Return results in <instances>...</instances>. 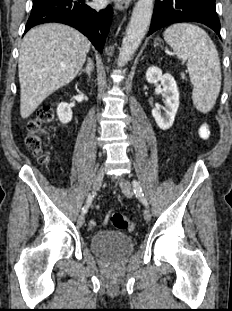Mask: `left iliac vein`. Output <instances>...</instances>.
<instances>
[{
	"label": "left iliac vein",
	"mask_w": 232,
	"mask_h": 311,
	"mask_svg": "<svg viewBox=\"0 0 232 311\" xmlns=\"http://www.w3.org/2000/svg\"><path fill=\"white\" fill-rule=\"evenodd\" d=\"M119 185L121 187V190L122 192L124 193L125 196L127 197H132L133 196V187L131 185V183L126 180V179H119ZM143 217L144 219L149 222L150 219H151V214H150V211L149 209H144V212H143Z\"/></svg>",
	"instance_id": "4c4485c4"
}]
</instances>
